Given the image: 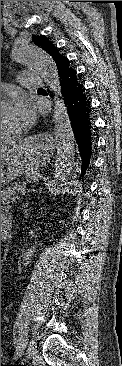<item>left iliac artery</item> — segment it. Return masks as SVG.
I'll use <instances>...</instances> for the list:
<instances>
[{"mask_svg": "<svg viewBox=\"0 0 122 366\" xmlns=\"http://www.w3.org/2000/svg\"><path fill=\"white\" fill-rule=\"evenodd\" d=\"M21 343H22V347H24V348H25V346H26V344H27L26 339H22V340H21Z\"/></svg>", "mask_w": 122, "mask_h": 366, "instance_id": "44dca946", "label": "left iliac artery"}]
</instances>
